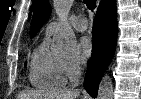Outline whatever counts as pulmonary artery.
Instances as JSON below:
<instances>
[{
    "instance_id": "e3ab8cb5",
    "label": "pulmonary artery",
    "mask_w": 141,
    "mask_h": 99,
    "mask_svg": "<svg viewBox=\"0 0 141 99\" xmlns=\"http://www.w3.org/2000/svg\"><path fill=\"white\" fill-rule=\"evenodd\" d=\"M69 23L71 26H73L76 30H79V31H84L87 29V26H88V23H87V19L82 16V15H72L70 18H69ZM57 27V22L53 21V22H50L47 26V32L48 33H52Z\"/></svg>"
}]
</instances>
